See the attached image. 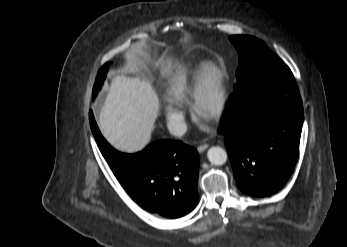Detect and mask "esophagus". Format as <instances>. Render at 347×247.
Segmentation results:
<instances>
[{
    "instance_id": "obj_1",
    "label": "esophagus",
    "mask_w": 347,
    "mask_h": 247,
    "mask_svg": "<svg viewBox=\"0 0 347 247\" xmlns=\"http://www.w3.org/2000/svg\"><path fill=\"white\" fill-rule=\"evenodd\" d=\"M208 147H209V145H208L207 143H204V144H202V145H199V146L197 147V150H198L199 153H202V152H204Z\"/></svg>"
}]
</instances>
